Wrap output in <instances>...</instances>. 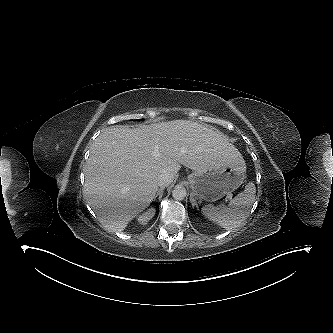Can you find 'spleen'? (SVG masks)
I'll return each mask as SVG.
<instances>
[{
    "label": "spleen",
    "mask_w": 333,
    "mask_h": 333,
    "mask_svg": "<svg viewBox=\"0 0 333 333\" xmlns=\"http://www.w3.org/2000/svg\"><path fill=\"white\" fill-rule=\"evenodd\" d=\"M255 193V185L252 182L248 183L245 190L235 196L227 206L205 205L201 209L202 214L226 230L235 229L240 227L248 217L255 201Z\"/></svg>",
    "instance_id": "3e777b00"
}]
</instances>
